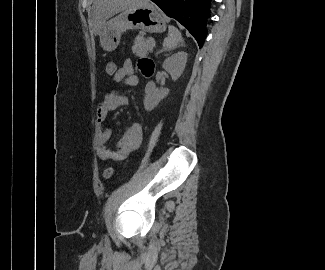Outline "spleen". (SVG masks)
<instances>
[{"label": "spleen", "mask_w": 325, "mask_h": 270, "mask_svg": "<svg viewBox=\"0 0 325 270\" xmlns=\"http://www.w3.org/2000/svg\"><path fill=\"white\" fill-rule=\"evenodd\" d=\"M182 42L183 38L180 31L173 26H169L168 36L164 39L163 47L165 49H174Z\"/></svg>", "instance_id": "1"}]
</instances>
